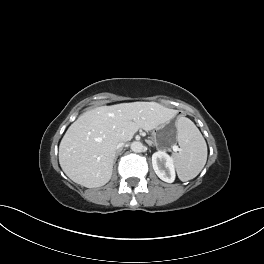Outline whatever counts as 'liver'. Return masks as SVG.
I'll return each instance as SVG.
<instances>
[{
  "label": "liver",
  "instance_id": "6515ba94",
  "mask_svg": "<svg viewBox=\"0 0 264 264\" xmlns=\"http://www.w3.org/2000/svg\"><path fill=\"white\" fill-rule=\"evenodd\" d=\"M175 111L155 102L121 103L88 110L71 124L59 145V163L75 183L101 187L112 176L116 146L139 130L169 122Z\"/></svg>",
  "mask_w": 264,
  "mask_h": 264
}]
</instances>
